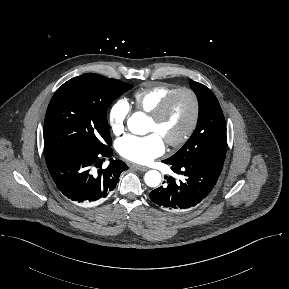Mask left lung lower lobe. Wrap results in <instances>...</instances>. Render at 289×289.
<instances>
[{"label":"left lung lower lobe","mask_w":289,"mask_h":289,"mask_svg":"<svg viewBox=\"0 0 289 289\" xmlns=\"http://www.w3.org/2000/svg\"><path fill=\"white\" fill-rule=\"evenodd\" d=\"M182 180L170 177L167 185L153 190L149 196L160 207L171 211L187 210L203 201L212 191L222 171L223 161L216 159H199L192 162L172 163L162 161Z\"/></svg>","instance_id":"obj_1"}]
</instances>
